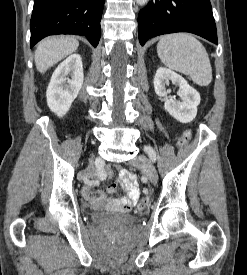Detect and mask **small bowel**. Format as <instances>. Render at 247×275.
<instances>
[{
  "label": "small bowel",
  "instance_id": "1",
  "mask_svg": "<svg viewBox=\"0 0 247 275\" xmlns=\"http://www.w3.org/2000/svg\"><path fill=\"white\" fill-rule=\"evenodd\" d=\"M120 184L123 186L126 195L112 200V205L122 211H129L138 202L140 191L134 174L128 170L118 168ZM107 174L112 176V170L108 169ZM98 181L89 182L83 189L84 196L94 206H99L104 203L105 196L103 193L95 191L93 188L98 185ZM109 191H116V184L109 187Z\"/></svg>",
  "mask_w": 247,
  "mask_h": 275
}]
</instances>
